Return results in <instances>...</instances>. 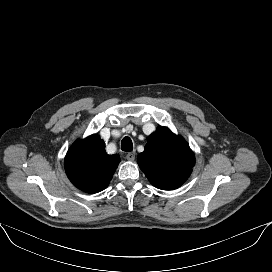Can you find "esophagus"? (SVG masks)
Listing matches in <instances>:
<instances>
[{
    "label": "esophagus",
    "instance_id": "esophagus-1",
    "mask_svg": "<svg viewBox=\"0 0 272 272\" xmlns=\"http://www.w3.org/2000/svg\"><path fill=\"white\" fill-rule=\"evenodd\" d=\"M126 158L127 160L129 161H133L135 159V152H129L127 155H126Z\"/></svg>",
    "mask_w": 272,
    "mask_h": 272
}]
</instances>
